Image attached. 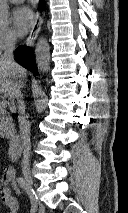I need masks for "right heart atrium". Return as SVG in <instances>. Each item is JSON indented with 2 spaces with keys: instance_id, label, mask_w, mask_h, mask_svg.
Instances as JSON below:
<instances>
[{
  "instance_id": "right-heart-atrium-1",
  "label": "right heart atrium",
  "mask_w": 128,
  "mask_h": 213,
  "mask_svg": "<svg viewBox=\"0 0 128 213\" xmlns=\"http://www.w3.org/2000/svg\"><path fill=\"white\" fill-rule=\"evenodd\" d=\"M16 43V36L15 34L7 29V28H0V53L6 49L11 48Z\"/></svg>"
}]
</instances>
